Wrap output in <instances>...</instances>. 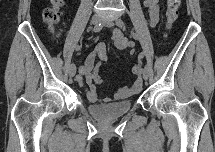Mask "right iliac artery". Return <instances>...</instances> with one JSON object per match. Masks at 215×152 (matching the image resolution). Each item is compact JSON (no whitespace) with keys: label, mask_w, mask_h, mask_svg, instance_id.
<instances>
[{"label":"right iliac artery","mask_w":215,"mask_h":152,"mask_svg":"<svg viewBox=\"0 0 215 152\" xmlns=\"http://www.w3.org/2000/svg\"><path fill=\"white\" fill-rule=\"evenodd\" d=\"M102 28H103V24H101V23H99L98 25H96L94 28H93V31L95 32V33H97V32H100L101 30H102ZM80 49V47L78 46L77 48H76V50H79ZM77 79V78H76Z\"/></svg>","instance_id":"right-iliac-artery-1"}]
</instances>
